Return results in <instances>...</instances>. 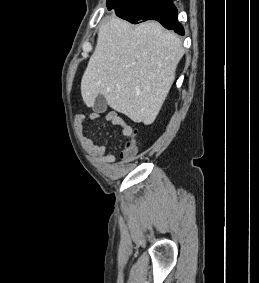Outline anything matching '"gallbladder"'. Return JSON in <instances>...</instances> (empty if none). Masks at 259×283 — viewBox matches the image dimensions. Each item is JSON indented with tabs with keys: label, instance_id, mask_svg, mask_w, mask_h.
Masks as SVG:
<instances>
[{
	"label": "gallbladder",
	"instance_id": "gallbladder-1",
	"mask_svg": "<svg viewBox=\"0 0 259 283\" xmlns=\"http://www.w3.org/2000/svg\"><path fill=\"white\" fill-rule=\"evenodd\" d=\"M107 106H108V103H107L106 98L103 95L99 94L96 97L92 108L97 113H103L107 110Z\"/></svg>",
	"mask_w": 259,
	"mask_h": 283
}]
</instances>
